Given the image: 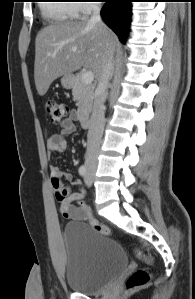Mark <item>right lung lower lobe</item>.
<instances>
[{
	"mask_svg": "<svg viewBox=\"0 0 195 299\" xmlns=\"http://www.w3.org/2000/svg\"><path fill=\"white\" fill-rule=\"evenodd\" d=\"M101 16L124 43L131 16L132 0H105Z\"/></svg>",
	"mask_w": 195,
	"mask_h": 299,
	"instance_id": "obj_1",
	"label": "right lung lower lobe"
}]
</instances>
